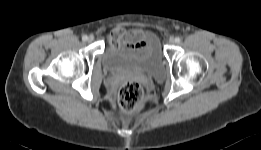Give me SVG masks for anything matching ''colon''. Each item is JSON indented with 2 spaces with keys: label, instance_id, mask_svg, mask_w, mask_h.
Returning a JSON list of instances; mask_svg holds the SVG:
<instances>
[{
  "label": "colon",
  "instance_id": "obj_1",
  "mask_svg": "<svg viewBox=\"0 0 261 150\" xmlns=\"http://www.w3.org/2000/svg\"><path fill=\"white\" fill-rule=\"evenodd\" d=\"M135 46V44H133ZM143 99V89L139 82L128 80L124 82L118 92V100L122 110L126 113L136 111Z\"/></svg>",
  "mask_w": 261,
  "mask_h": 150
}]
</instances>
